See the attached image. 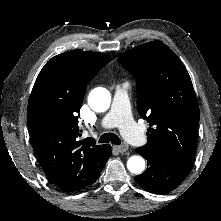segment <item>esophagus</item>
Returning a JSON list of instances; mask_svg holds the SVG:
<instances>
[{
	"label": "esophagus",
	"mask_w": 221,
	"mask_h": 221,
	"mask_svg": "<svg viewBox=\"0 0 221 221\" xmlns=\"http://www.w3.org/2000/svg\"><path fill=\"white\" fill-rule=\"evenodd\" d=\"M114 149L117 150L120 153H125L126 151H128L129 146L127 144H122L120 146H114Z\"/></svg>",
	"instance_id": "obj_1"
}]
</instances>
